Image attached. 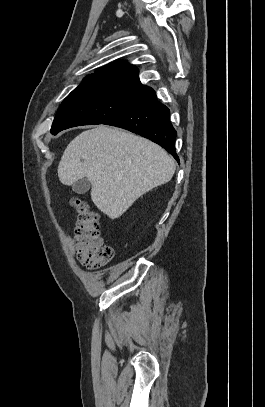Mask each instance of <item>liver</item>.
<instances>
[{"mask_svg":"<svg viewBox=\"0 0 265 407\" xmlns=\"http://www.w3.org/2000/svg\"><path fill=\"white\" fill-rule=\"evenodd\" d=\"M174 172V160L159 145L105 125L75 137L58 165L64 185L87 178L92 201L111 219L120 217L143 194L169 182Z\"/></svg>","mask_w":265,"mask_h":407,"instance_id":"obj_1","label":"liver"}]
</instances>
